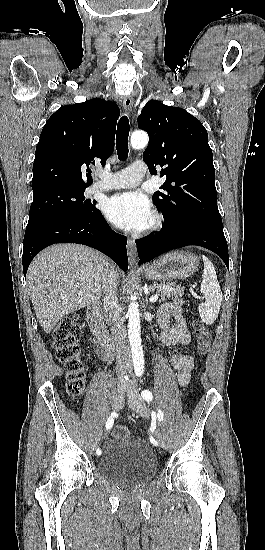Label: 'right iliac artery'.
<instances>
[{
    "instance_id": "obj_1",
    "label": "right iliac artery",
    "mask_w": 265,
    "mask_h": 550,
    "mask_svg": "<svg viewBox=\"0 0 265 550\" xmlns=\"http://www.w3.org/2000/svg\"><path fill=\"white\" fill-rule=\"evenodd\" d=\"M114 417H116V413H115V412H113V413L111 414V416L108 418V420H107V422H106V429H107V430L112 428V426H113V424H114ZM96 453H97L98 455H100V454H101V450L98 448V449L96 450Z\"/></svg>"
}]
</instances>
